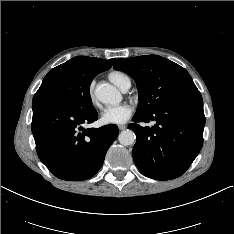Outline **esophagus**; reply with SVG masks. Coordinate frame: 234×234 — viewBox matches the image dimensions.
I'll list each match as a JSON object with an SVG mask.
<instances>
[{"mask_svg": "<svg viewBox=\"0 0 234 234\" xmlns=\"http://www.w3.org/2000/svg\"><path fill=\"white\" fill-rule=\"evenodd\" d=\"M118 128H119V130H125L127 128V126L126 125H119Z\"/></svg>", "mask_w": 234, "mask_h": 234, "instance_id": "1", "label": "esophagus"}]
</instances>
